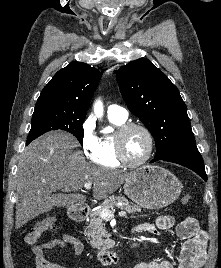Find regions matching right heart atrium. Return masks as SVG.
Instances as JSON below:
<instances>
[{"label": "right heart atrium", "mask_w": 221, "mask_h": 268, "mask_svg": "<svg viewBox=\"0 0 221 268\" xmlns=\"http://www.w3.org/2000/svg\"><path fill=\"white\" fill-rule=\"evenodd\" d=\"M98 146L99 138L95 131V121L92 117H88L81 126V147L86 158L94 161Z\"/></svg>", "instance_id": "right-heart-atrium-1"}]
</instances>
